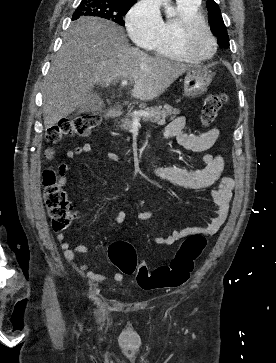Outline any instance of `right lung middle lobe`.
Returning <instances> with one entry per match:
<instances>
[{
  "label": "right lung middle lobe",
  "instance_id": "dd1d6c3e",
  "mask_svg": "<svg viewBox=\"0 0 276 363\" xmlns=\"http://www.w3.org/2000/svg\"><path fill=\"white\" fill-rule=\"evenodd\" d=\"M133 4V2L117 0H82L75 10L72 20L81 16H94L114 21L123 26V16Z\"/></svg>",
  "mask_w": 276,
  "mask_h": 363
}]
</instances>
